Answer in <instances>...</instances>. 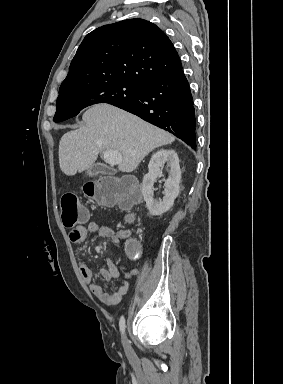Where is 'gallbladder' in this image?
I'll list each match as a JSON object with an SVG mask.
<instances>
[{
	"mask_svg": "<svg viewBox=\"0 0 283 384\" xmlns=\"http://www.w3.org/2000/svg\"><path fill=\"white\" fill-rule=\"evenodd\" d=\"M109 171H110L109 165H92L90 167L89 176L98 177L99 172H109Z\"/></svg>",
	"mask_w": 283,
	"mask_h": 384,
	"instance_id": "gallbladder-1",
	"label": "gallbladder"
}]
</instances>
